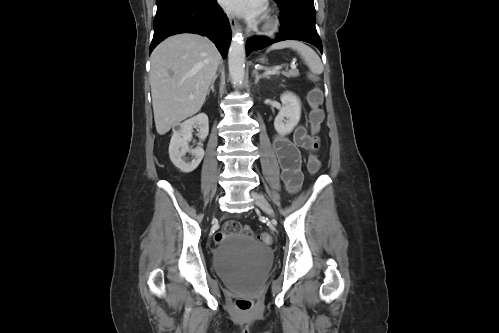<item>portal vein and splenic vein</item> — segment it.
Returning a JSON list of instances; mask_svg holds the SVG:
<instances>
[{"instance_id": "portal-vein-and-splenic-vein-1", "label": "portal vein and splenic vein", "mask_w": 499, "mask_h": 333, "mask_svg": "<svg viewBox=\"0 0 499 333\" xmlns=\"http://www.w3.org/2000/svg\"><path fill=\"white\" fill-rule=\"evenodd\" d=\"M292 68H295L296 66L294 64L291 65ZM282 67L281 66H276L275 68L271 69V70H266L265 71V75H271V74H276L278 73V71L281 69ZM190 99H193V96H190Z\"/></svg>"}]
</instances>
